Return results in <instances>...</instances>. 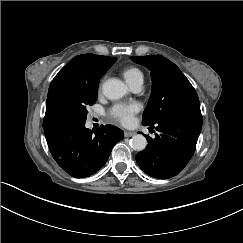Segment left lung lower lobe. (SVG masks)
I'll use <instances>...</instances> for the list:
<instances>
[{
	"mask_svg": "<svg viewBox=\"0 0 243 243\" xmlns=\"http://www.w3.org/2000/svg\"><path fill=\"white\" fill-rule=\"evenodd\" d=\"M156 125L160 134H155L154 139L146 136L148 145L137 153L136 161L149 176L168 179L181 172L193 156L202 128V115L178 113Z\"/></svg>",
	"mask_w": 243,
	"mask_h": 243,
	"instance_id": "1",
	"label": "left lung lower lobe"
}]
</instances>
